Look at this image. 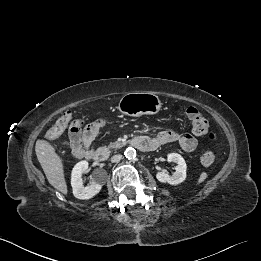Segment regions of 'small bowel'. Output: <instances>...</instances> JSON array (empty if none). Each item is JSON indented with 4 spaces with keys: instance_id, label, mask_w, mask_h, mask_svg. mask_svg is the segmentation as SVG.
<instances>
[{
    "instance_id": "c3829d8e",
    "label": "small bowel",
    "mask_w": 261,
    "mask_h": 261,
    "mask_svg": "<svg viewBox=\"0 0 261 261\" xmlns=\"http://www.w3.org/2000/svg\"><path fill=\"white\" fill-rule=\"evenodd\" d=\"M102 121H97L92 124H89L83 131L81 138L77 141H71L70 150L71 154L75 158H81L84 156V152L93 151L91 148V144L95 139L100 127L102 126ZM144 138L149 139L156 148L169 144V143H177L179 147L186 153L193 152L198 145L197 139L188 133H176L174 131H162L154 137Z\"/></svg>"
}]
</instances>
